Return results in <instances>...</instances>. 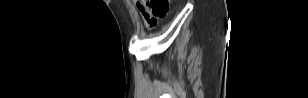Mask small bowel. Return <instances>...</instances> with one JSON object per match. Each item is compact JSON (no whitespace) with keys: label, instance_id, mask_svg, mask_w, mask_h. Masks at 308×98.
<instances>
[{"label":"small bowel","instance_id":"obj_1","mask_svg":"<svg viewBox=\"0 0 308 98\" xmlns=\"http://www.w3.org/2000/svg\"><path fill=\"white\" fill-rule=\"evenodd\" d=\"M135 4H136V6H137V8L139 9V6H138V4L135 2ZM139 11H140V9H139Z\"/></svg>","mask_w":308,"mask_h":98}]
</instances>
